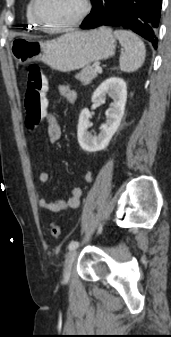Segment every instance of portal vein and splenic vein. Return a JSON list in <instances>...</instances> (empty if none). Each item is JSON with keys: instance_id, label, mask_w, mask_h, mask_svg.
<instances>
[{"instance_id": "obj_1", "label": "portal vein and splenic vein", "mask_w": 171, "mask_h": 337, "mask_svg": "<svg viewBox=\"0 0 171 337\" xmlns=\"http://www.w3.org/2000/svg\"><path fill=\"white\" fill-rule=\"evenodd\" d=\"M94 70L97 72V73H102V68L100 66H96L94 68Z\"/></svg>"}]
</instances>
